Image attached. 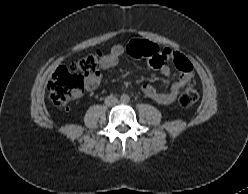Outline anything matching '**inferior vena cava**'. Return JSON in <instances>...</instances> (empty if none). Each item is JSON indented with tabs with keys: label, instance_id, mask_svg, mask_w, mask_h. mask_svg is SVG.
I'll return each mask as SVG.
<instances>
[{
	"label": "inferior vena cava",
	"instance_id": "inferior-vena-cava-1",
	"mask_svg": "<svg viewBox=\"0 0 248 194\" xmlns=\"http://www.w3.org/2000/svg\"><path fill=\"white\" fill-rule=\"evenodd\" d=\"M118 103V98H116L115 96H107L105 98V104L107 106H114Z\"/></svg>",
	"mask_w": 248,
	"mask_h": 194
}]
</instances>
